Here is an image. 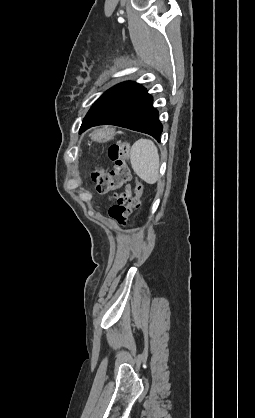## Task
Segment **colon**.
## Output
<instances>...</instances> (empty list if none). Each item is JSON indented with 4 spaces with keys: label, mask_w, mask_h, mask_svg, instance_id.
<instances>
[{
    "label": "colon",
    "mask_w": 255,
    "mask_h": 418,
    "mask_svg": "<svg viewBox=\"0 0 255 418\" xmlns=\"http://www.w3.org/2000/svg\"><path fill=\"white\" fill-rule=\"evenodd\" d=\"M108 157L113 163V170L109 173L95 172L93 179L98 185L99 192L106 193L121 187L131 178L129 166V145L127 143L113 144L108 149ZM143 192L142 184L136 180L134 194L132 196H121L117 203L111 207L110 216L119 224H124L126 217L132 210L140 207Z\"/></svg>",
    "instance_id": "1"
}]
</instances>
